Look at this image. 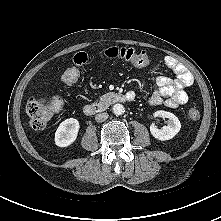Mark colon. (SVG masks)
<instances>
[{"mask_svg":"<svg viewBox=\"0 0 221 221\" xmlns=\"http://www.w3.org/2000/svg\"><path fill=\"white\" fill-rule=\"evenodd\" d=\"M103 56L109 60H124L135 66H147L150 57L146 51L131 47H111L103 52ZM89 61V56L79 52L73 57V64L62 74V82L65 86L75 84L80 78V67ZM62 107V101L58 96L47 98L31 97L27 103V112L30 117L31 126L35 130L45 128L53 115ZM187 118L197 121L200 118L198 107L192 106L187 109Z\"/></svg>","mask_w":221,"mask_h":221,"instance_id":"5ec220e1","label":"colon"}]
</instances>
